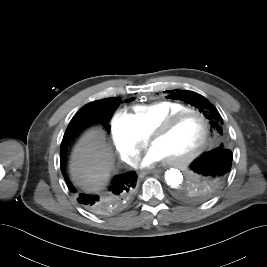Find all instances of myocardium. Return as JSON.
<instances>
[{
    "instance_id": "f54148a6",
    "label": "myocardium",
    "mask_w": 267,
    "mask_h": 267,
    "mask_svg": "<svg viewBox=\"0 0 267 267\" xmlns=\"http://www.w3.org/2000/svg\"><path fill=\"white\" fill-rule=\"evenodd\" d=\"M188 115L198 116L203 123V136L199 145L189 154L180 157L168 159V161L175 165H185L191 162L193 159L198 157L208 146L209 134H210V125L207 117L199 110L195 109H186L177 113L172 114L161 122L149 135V141L152 143L153 139L159 136L166 134L171 128H173L180 120Z\"/></svg>"
}]
</instances>
